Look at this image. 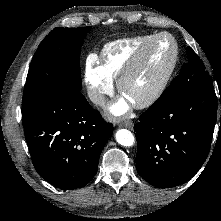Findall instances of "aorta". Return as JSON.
Segmentation results:
<instances>
[{
	"mask_svg": "<svg viewBox=\"0 0 221 221\" xmlns=\"http://www.w3.org/2000/svg\"><path fill=\"white\" fill-rule=\"evenodd\" d=\"M115 137H116V141L125 147H130L134 144V136L127 129L118 130L116 132Z\"/></svg>",
	"mask_w": 221,
	"mask_h": 221,
	"instance_id": "762f6f07",
	"label": "aorta"
}]
</instances>
